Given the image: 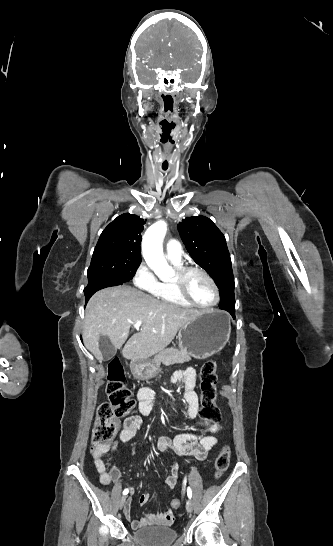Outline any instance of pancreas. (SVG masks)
I'll return each instance as SVG.
<instances>
[{"mask_svg":"<svg viewBox=\"0 0 333 546\" xmlns=\"http://www.w3.org/2000/svg\"><path fill=\"white\" fill-rule=\"evenodd\" d=\"M190 359L191 357L188 353L176 348H168L156 354L152 361L157 365L162 363L166 366H170L173 364L188 362Z\"/></svg>","mask_w":333,"mask_h":546,"instance_id":"cf45deb5","label":"pancreas"}]
</instances>
